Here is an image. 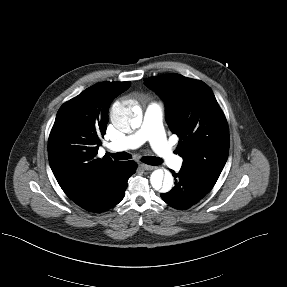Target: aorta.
<instances>
[{
	"label": "aorta",
	"instance_id": "aorta-1",
	"mask_svg": "<svg viewBox=\"0 0 287 287\" xmlns=\"http://www.w3.org/2000/svg\"><path fill=\"white\" fill-rule=\"evenodd\" d=\"M111 121L121 131L139 128L142 123L141 109L138 105L128 101L116 102L111 109ZM173 182V176L170 173L164 175L162 169L153 171L150 176V183L157 191H170L173 187Z\"/></svg>",
	"mask_w": 287,
	"mask_h": 287
}]
</instances>
